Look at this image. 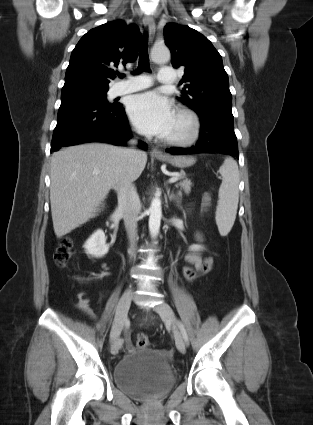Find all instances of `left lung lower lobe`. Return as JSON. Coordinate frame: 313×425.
<instances>
[{
	"label": "left lung lower lobe",
	"instance_id": "left-lung-lower-lobe-1",
	"mask_svg": "<svg viewBox=\"0 0 313 425\" xmlns=\"http://www.w3.org/2000/svg\"><path fill=\"white\" fill-rule=\"evenodd\" d=\"M200 116V140L191 148H170L173 155L218 152L239 158L231 111L208 110Z\"/></svg>",
	"mask_w": 313,
	"mask_h": 425
}]
</instances>
